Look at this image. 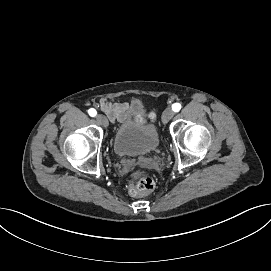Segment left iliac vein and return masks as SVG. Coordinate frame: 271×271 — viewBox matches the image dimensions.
Returning a JSON list of instances; mask_svg holds the SVG:
<instances>
[{
  "label": "left iliac vein",
  "instance_id": "obj_1",
  "mask_svg": "<svg viewBox=\"0 0 271 271\" xmlns=\"http://www.w3.org/2000/svg\"><path fill=\"white\" fill-rule=\"evenodd\" d=\"M174 115V112L171 108H166L162 114V122L167 123Z\"/></svg>",
  "mask_w": 271,
  "mask_h": 271
}]
</instances>
